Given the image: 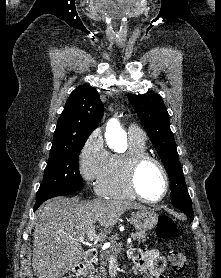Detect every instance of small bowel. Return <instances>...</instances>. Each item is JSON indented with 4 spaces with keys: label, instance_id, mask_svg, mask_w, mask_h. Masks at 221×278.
<instances>
[{
    "label": "small bowel",
    "instance_id": "1",
    "mask_svg": "<svg viewBox=\"0 0 221 278\" xmlns=\"http://www.w3.org/2000/svg\"><path fill=\"white\" fill-rule=\"evenodd\" d=\"M130 258L136 262L140 271L145 274V278H165L163 272L166 262L156 249L145 252L132 250Z\"/></svg>",
    "mask_w": 221,
    "mask_h": 278
}]
</instances>
